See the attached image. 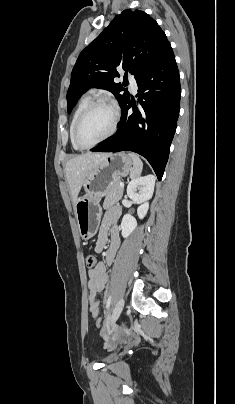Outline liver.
Listing matches in <instances>:
<instances>
[{"instance_id":"liver-1","label":"liver","mask_w":235,"mask_h":404,"mask_svg":"<svg viewBox=\"0 0 235 404\" xmlns=\"http://www.w3.org/2000/svg\"><path fill=\"white\" fill-rule=\"evenodd\" d=\"M107 156L108 153H84L67 161L65 174L73 205L78 200L84 180Z\"/></svg>"}]
</instances>
